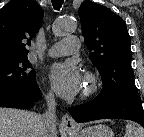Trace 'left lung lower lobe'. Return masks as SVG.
Listing matches in <instances>:
<instances>
[{"label": "left lung lower lobe", "mask_w": 144, "mask_h": 137, "mask_svg": "<svg viewBox=\"0 0 144 137\" xmlns=\"http://www.w3.org/2000/svg\"><path fill=\"white\" fill-rule=\"evenodd\" d=\"M69 112L79 123L116 118L132 120L144 127V110L139 95L122 96L112 100L97 96L91 102L70 107Z\"/></svg>", "instance_id": "1"}]
</instances>
